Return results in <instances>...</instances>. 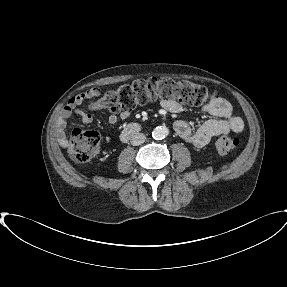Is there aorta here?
Masks as SVG:
<instances>
[{"label":"aorta","mask_w":287,"mask_h":287,"mask_svg":"<svg viewBox=\"0 0 287 287\" xmlns=\"http://www.w3.org/2000/svg\"><path fill=\"white\" fill-rule=\"evenodd\" d=\"M169 133L167 127L158 126L152 131V137L156 140L164 139Z\"/></svg>","instance_id":"obj_1"}]
</instances>
